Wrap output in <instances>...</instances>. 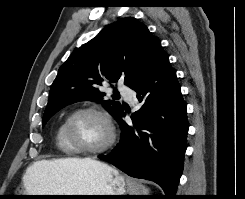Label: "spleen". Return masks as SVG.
<instances>
[{
    "label": "spleen",
    "mask_w": 245,
    "mask_h": 199,
    "mask_svg": "<svg viewBox=\"0 0 245 199\" xmlns=\"http://www.w3.org/2000/svg\"><path fill=\"white\" fill-rule=\"evenodd\" d=\"M127 185L130 195H148L149 193V189L136 180L127 179Z\"/></svg>",
    "instance_id": "obj_1"
}]
</instances>
